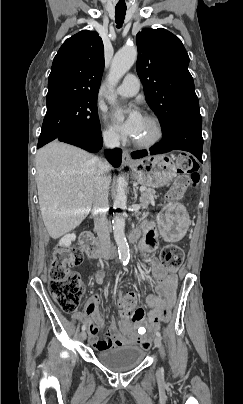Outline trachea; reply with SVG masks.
Returning <instances> with one entry per match:
<instances>
[{
	"instance_id": "trachea-1",
	"label": "trachea",
	"mask_w": 243,
	"mask_h": 404,
	"mask_svg": "<svg viewBox=\"0 0 243 404\" xmlns=\"http://www.w3.org/2000/svg\"><path fill=\"white\" fill-rule=\"evenodd\" d=\"M126 10H127L126 6H116L115 7V22L117 24L118 29H120L124 23Z\"/></svg>"
}]
</instances>
